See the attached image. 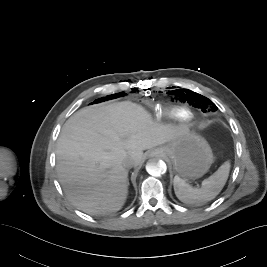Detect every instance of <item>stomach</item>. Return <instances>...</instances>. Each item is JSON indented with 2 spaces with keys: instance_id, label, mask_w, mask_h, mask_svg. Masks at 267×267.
Instances as JSON below:
<instances>
[{
  "instance_id": "0dacf381",
  "label": "stomach",
  "mask_w": 267,
  "mask_h": 267,
  "mask_svg": "<svg viewBox=\"0 0 267 267\" xmlns=\"http://www.w3.org/2000/svg\"><path fill=\"white\" fill-rule=\"evenodd\" d=\"M152 155L169 159L175 172L185 179L202 177L213 163V153L208 142L189 130L155 149Z\"/></svg>"
}]
</instances>
